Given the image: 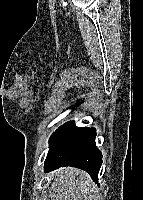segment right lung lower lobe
<instances>
[{
  "instance_id": "obj_1",
  "label": "right lung lower lobe",
  "mask_w": 143,
  "mask_h": 200,
  "mask_svg": "<svg viewBox=\"0 0 143 200\" xmlns=\"http://www.w3.org/2000/svg\"><path fill=\"white\" fill-rule=\"evenodd\" d=\"M94 128H79L70 121L55 131L50 138V147L44 164L46 172L62 166L85 170L97 182L102 164L101 152L95 145Z\"/></svg>"
}]
</instances>
